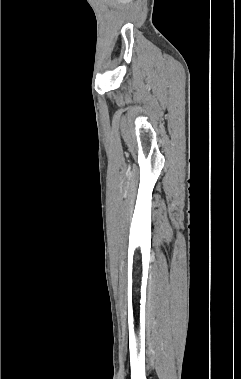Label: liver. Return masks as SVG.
Returning <instances> with one entry per match:
<instances>
[{"label":"liver","mask_w":241,"mask_h":379,"mask_svg":"<svg viewBox=\"0 0 241 379\" xmlns=\"http://www.w3.org/2000/svg\"><path fill=\"white\" fill-rule=\"evenodd\" d=\"M119 2H121V3H127V2H129L130 0H118Z\"/></svg>","instance_id":"liver-1"}]
</instances>
